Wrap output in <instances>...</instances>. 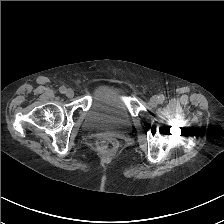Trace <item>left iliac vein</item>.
I'll return each mask as SVG.
<instances>
[{
    "label": "left iliac vein",
    "instance_id": "obj_1",
    "mask_svg": "<svg viewBox=\"0 0 224 224\" xmlns=\"http://www.w3.org/2000/svg\"><path fill=\"white\" fill-rule=\"evenodd\" d=\"M150 103L152 104V105H157L158 103H160V101H159V96H153L151 99H150Z\"/></svg>",
    "mask_w": 224,
    "mask_h": 224
}]
</instances>
